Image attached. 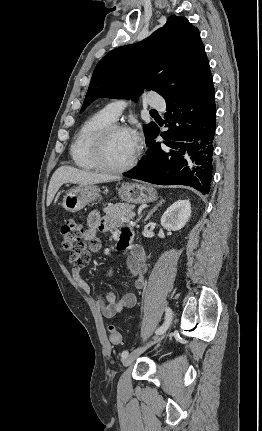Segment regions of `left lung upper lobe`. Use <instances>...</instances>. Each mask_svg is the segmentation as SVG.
<instances>
[{"label":"left lung upper lobe","mask_w":262,"mask_h":431,"mask_svg":"<svg viewBox=\"0 0 262 431\" xmlns=\"http://www.w3.org/2000/svg\"><path fill=\"white\" fill-rule=\"evenodd\" d=\"M199 31L171 16L145 40L113 49L97 64L81 111L98 97L132 98L154 90L166 101L180 98L211 78ZM157 125H144L146 141Z\"/></svg>","instance_id":"left-lung-upper-lobe-1"}]
</instances>
